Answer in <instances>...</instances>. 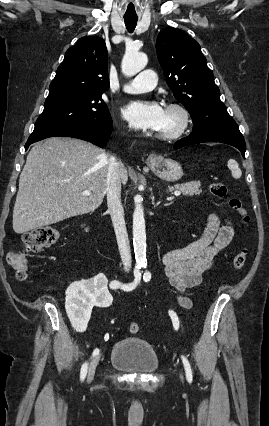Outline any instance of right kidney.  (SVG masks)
<instances>
[{"label":"right kidney","mask_w":269,"mask_h":426,"mask_svg":"<svg viewBox=\"0 0 269 426\" xmlns=\"http://www.w3.org/2000/svg\"><path fill=\"white\" fill-rule=\"evenodd\" d=\"M85 231L88 232V228H85ZM105 280L104 273H96L93 279L71 282L67 289V314L70 319L75 317L84 329L87 327L92 308L96 311H108L112 305L113 296Z\"/></svg>","instance_id":"ca27d5eb"}]
</instances>
